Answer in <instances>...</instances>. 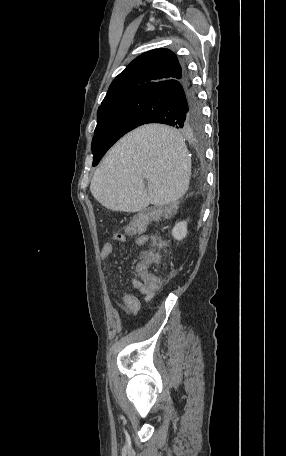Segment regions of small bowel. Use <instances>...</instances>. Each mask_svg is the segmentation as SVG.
Instances as JSON below:
<instances>
[{"label":"small bowel","mask_w":286,"mask_h":456,"mask_svg":"<svg viewBox=\"0 0 286 456\" xmlns=\"http://www.w3.org/2000/svg\"><path fill=\"white\" fill-rule=\"evenodd\" d=\"M115 238L120 241H125L127 235L121 233L119 237ZM147 242L148 236L146 234L138 235L135 238V244L137 247H144ZM113 250L114 245L112 242L104 243L100 250V257L103 260H108L111 257ZM132 285L138 290L146 303H151L154 300L156 295L155 291H148L142 287H138L134 279L132 280ZM115 305L122 313L126 315H135L140 310L141 302L136 295L128 292H122L119 300H115Z\"/></svg>","instance_id":"obj_1"}]
</instances>
